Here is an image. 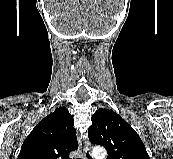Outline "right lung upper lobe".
<instances>
[{"instance_id": "cb5924a9", "label": "right lung upper lobe", "mask_w": 173, "mask_h": 159, "mask_svg": "<svg viewBox=\"0 0 173 159\" xmlns=\"http://www.w3.org/2000/svg\"><path fill=\"white\" fill-rule=\"evenodd\" d=\"M74 120L66 107L42 119L24 140L18 159H70L78 148Z\"/></svg>"}]
</instances>
